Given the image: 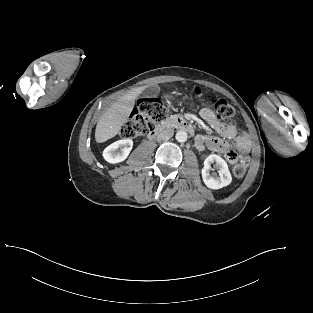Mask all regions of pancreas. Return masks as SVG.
Returning a JSON list of instances; mask_svg holds the SVG:
<instances>
[{
  "label": "pancreas",
  "instance_id": "cf45deb5",
  "mask_svg": "<svg viewBox=\"0 0 313 313\" xmlns=\"http://www.w3.org/2000/svg\"><path fill=\"white\" fill-rule=\"evenodd\" d=\"M176 119V116H173L172 118H170V120L174 121Z\"/></svg>",
  "mask_w": 313,
  "mask_h": 313
}]
</instances>
